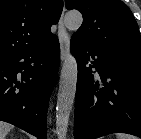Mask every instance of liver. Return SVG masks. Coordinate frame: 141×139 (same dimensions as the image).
I'll return each mask as SVG.
<instances>
[{"mask_svg":"<svg viewBox=\"0 0 141 139\" xmlns=\"http://www.w3.org/2000/svg\"><path fill=\"white\" fill-rule=\"evenodd\" d=\"M13 128L11 124L0 121V139H5L8 132Z\"/></svg>","mask_w":141,"mask_h":139,"instance_id":"6515ba94","label":"liver"}]
</instances>
